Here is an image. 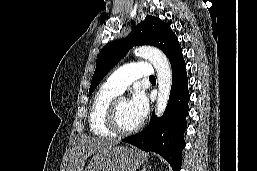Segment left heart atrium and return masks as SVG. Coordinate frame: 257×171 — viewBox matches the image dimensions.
I'll return each instance as SVG.
<instances>
[{
    "label": "left heart atrium",
    "mask_w": 257,
    "mask_h": 171,
    "mask_svg": "<svg viewBox=\"0 0 257 171\" xmlns=\"http://www.w3.org/2000/svg\"><path fill=\"white\" fill-rule=\"evenodd\" d=\"M129 107L139 121H142L146 117L149 104L147 96L142 89L137 88L134 90L129 101Z\"/></svg>",
    "instance_id": "obj_1"
}]
</instances>
